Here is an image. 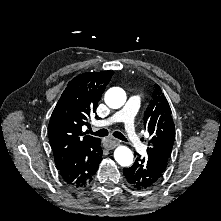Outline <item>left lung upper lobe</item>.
<instances>
[{
	"label": "left lung upper lobe",
	"mask_w": 221,
	"mask_h": 221,
	"mask_svg": "<svg viewBox=\"0 0 221 221\" xmlns=\"http://www.w3.org/2000/svg\"><path fill=\"white\" fill-rule=\"evenodd\" d=\"M144 126L151 136L148 157L166 168L175 139V126L169 103L157 84L144 113Z\"/></svg>",
	"instance_id": "5c2ea615"
}]
</instances>
